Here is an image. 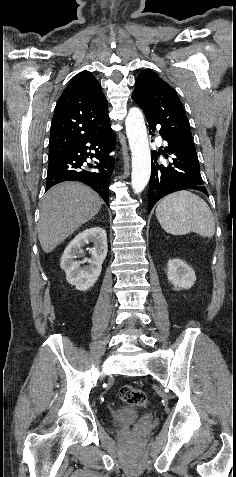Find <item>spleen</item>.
<instances>
[{
    "instance_id": "1",
    "label": "spleen",
    "mask_w": 236,
    "mask_h": 477,
    "mask_svg": "<svg viewBox=\"0 0 236 477\" xmlns=\"http://www.w3.org/2000/svg\"><path fill=\"white\" fill-rule=\"evenodd\" d=\"M156 217L161 227L172 235L195 232L211 238L215 233V220L208 204L187 190L175 192L161 200Z\"/></svg>"
}]
</instances>
